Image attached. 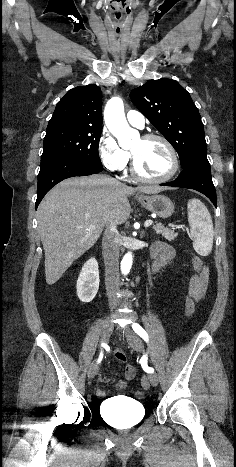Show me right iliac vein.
Segmentation results:
<instances>
[{"instance_id":"right-iliac-vein-1","label":"right iliac vein","mask_w":236,"mask_h":467,"mask_svg":"<svg viewBox=\"0 0 236 467\" xmlns=\"http://www.w3.org/2000/svg\"><path fill=\"white\" fill-rule=\"evenodd\" d=\"M113 327H114V324H113V321L111 318H107L103 325H102V332H101V337H102V341L104 342H107L112 331H113ZM98 372V363L95 362L93 363L90 367H89V370H88V377L91 379L93 377H95V375L97 374Z\"/></svg>"}]
</instances>
